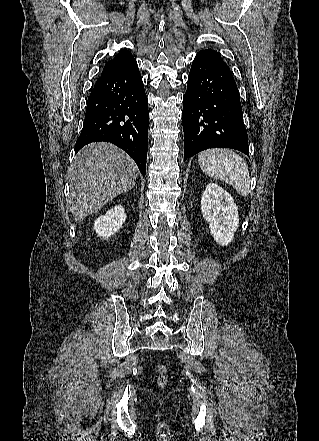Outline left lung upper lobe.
I'll use <instances>...</instances> for the list:
<instances>
[{
  "mask_svg": "<svg viewBox=\"0 0 319 441\" xmlns=\"http://www.w3.org/2000/svg\"><path fill=\"white\" fill-rule=\"evenodd\" d=\"M200 53H203V54L209 56L210 58H212V59H214V60H216V61H218V62H220V63H222V64H224V65H227V64L222 60L220 54H219L218 52H216L215 50H212V49H206V50H202V51H200Z\"/></svg>",
  "mask_w": 319,
  "mask_h": 441,
  "instance_id": "5c2ea615",
  "label": "left lung upper lobe"
}]
</instances>
